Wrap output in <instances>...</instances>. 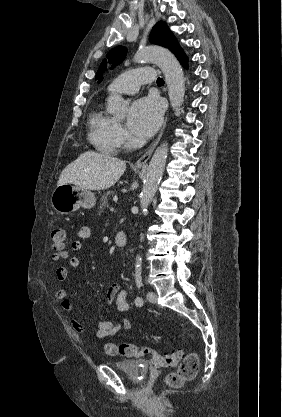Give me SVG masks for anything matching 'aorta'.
<instances>
[{
	"mask_svg": "<svg viewBox=\"0 0 282 417\" xmlns=\"http://www.w3.org/2000/svg\"><path fill=\"white\" fill-rule=\"evenodd\" d=\"M142 60H154L161 68L166 84L168 86L169 100L173 108H180L185 94V78L180 62L176 56L163 48V46H145L138 48L134 62ZM107 110L116 116H124L128 102L122 98L121 94H112L107 100ZM168 154V142H163L156 148L147 168L143 188L140 192V204L142 211H147L148 206L158 188V184L164 172L166 158ZM142 257L136 255L134 267V279H142Z\"/></svg>",
	"mask_w": 282,
	"mask_h": 417,
	"instance_id": "1",
	"label": "aorta"
}]
</instances>
